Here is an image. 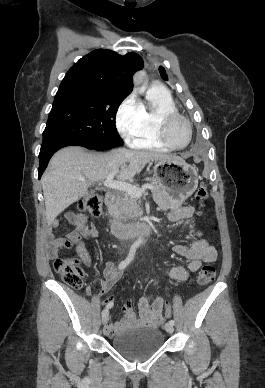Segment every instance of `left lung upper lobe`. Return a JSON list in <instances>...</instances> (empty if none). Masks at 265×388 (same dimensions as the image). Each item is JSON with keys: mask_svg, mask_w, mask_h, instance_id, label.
I'll use <instances>...</instances> for the list:
<instances>
[{"mask_svg": "<svg viewBox=\"0 0 265 388\" xmlns=\"http://www.w3.org/2000/svg\"><path fill=\"white\" fill-rule=\"evenodd\" d=\"M159 71H160L161 77H162L164 80H168L165 69L162 68V67H160V68H159Z\"/></svg>", "mask_w": 265, "mask_h": 388, "instance_id": "left-lung-upper-lobe-1", "label": "left lung upper lobe"}]
</instances>
